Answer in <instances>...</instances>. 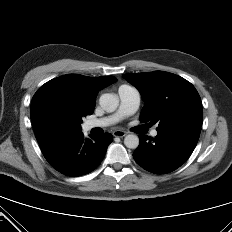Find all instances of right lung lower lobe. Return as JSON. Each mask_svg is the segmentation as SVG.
I'll return each instance as SVG.
<instances>
[{"label": "right lung lower lobe", "instance_id": "98d812e1", "mask_svg": "<svg viewBox=\"0 0 232 232\" xmlns=\"http://www.w3.org/2000/svg\"><path fill=\"white\" fill-rule=\"evenodd\" d=\"M112 140L109 133L84 139L81 131L51 132L37 139L50 165L67 176H81L96 169Z\"/></svg>", "mask_w": 232, "mask_h": 232}]
</instances>
